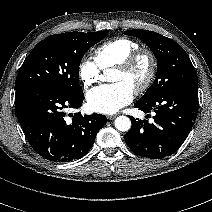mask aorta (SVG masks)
Instances as JSON below:
<instances>
[{
	"label": "aorta",
	"instance_id": "1",
	"mask_svg": "<svg viewBox=\"0 0 212 212\" xmlns=\"http://www.w3.org/2000/svg\"><path fill=\"white\" fill-rule=\"evenodd\" d=\"M115 128L122 132L129 131L131 128V120L127 116H118L115 119Z\"/></svg>",
	"mask_w": 212,
	"mask_h": 212
}]
</instances>
